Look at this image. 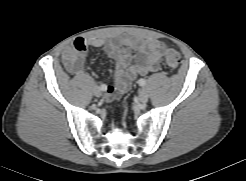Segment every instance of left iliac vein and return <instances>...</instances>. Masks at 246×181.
<instances>
[{"mask_svg":"<svg viewBox=\"0 0 246 181\" xmlns=\"http://www.w3.org/2000/svg\"><path fill=\"white\" fill-rule=\"evenodd\" d=\"M139 101L141 103H146L148 101V94H147L146 90L142 89L139 92Z\"/></svg>","mask_w":246,"mask_h":181,"instance_id":"4c4485c4","label":"left iliac vein"}]
</instances>
